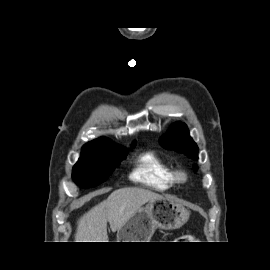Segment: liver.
<instances>
[{
    "label": "liver",
    "mask_w": 270,
    "mask_h": 270,
    "mask_svg": "<svg viewBox=\"0 0 270 270\" xmlns=\"http://www.w3.org/2000/svg\"><path fill=\"white\" fill-rule=\"evenodd\" d=\"M163 196L147 189L126 187L85 213L77 222L76 242H108L107 222L112 232L120 229L145 203Z\"/></svg>",
    "instance_id": "1"
}]
</instances>
